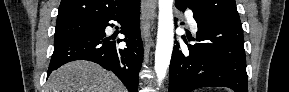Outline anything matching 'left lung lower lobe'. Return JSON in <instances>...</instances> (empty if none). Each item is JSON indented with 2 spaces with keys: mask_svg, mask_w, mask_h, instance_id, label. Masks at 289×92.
Masks as SVG:
<instances>
[{
  "mask_svg": "<svg viewBox=\"0 0 289 92\" xmlns=\"http://www.w3.org/2000/svg\"><path fill=\"white\" fill-rule=\"evenodd\" d=\"M175 6L181 11L192 9L198 25L196 40L199 43L181 49L175 42L170 62L169 92H190L207 86L248 92L241 25L194 10L183 0H176ZM182 38L187 44L185 36Z\"/></svg>",
  "mask_w": 289,
  "mask_h": 92,
  "instance_id": "left-lung-lower-lobe-1",
  "label": "left lung lower lobe"
}]
</instances>
